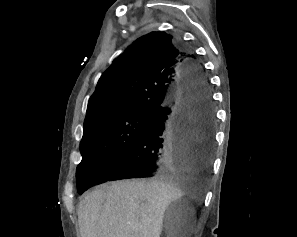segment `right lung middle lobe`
<instances>
[{
	"label": "right lung middle lobe",
	"instance_id": "dd1d6c3e",
	"mask_svg": "<svg viewBox=\"0 0 297 237\" xmlns=\"http://www.w3.org/2000/svg\"><path fill=\"white\" fill-rule=\"evenodd\" d=\"M153 112L139 111L109 117L84 129L80 142L82 161L77 167V190L82 194L97 185L139 138Z\"/></svg>",
	"mask_w": 297,
	"mask_h": 237
}]
</instances>
